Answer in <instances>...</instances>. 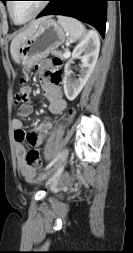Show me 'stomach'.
Wrapping results in <instances>:
<instances>
[{"label":"stomach","mask_w":133,"mask_h":253,"mask_svg":"<svg viewBox=\"0 0 133 253\" xmlns=\"http://www.w3.org/2000/svg\"><path fill=\"white\" fill-rule=\"evenodd\" d=\"M65 41L63 29L53 19L43 21L35 33L24 41L17 56V62L29 70L34 63L47 57Z\"/></svg>","instance_id":"stomach-1"}]
</instances>
